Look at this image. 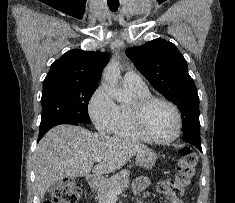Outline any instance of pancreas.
Returning <instances> with one entry per match:
<instances>
[{"label": "pancreas", "mask_w": 235, "mask_h": 203, "mask_svg": "<svg viewBox=\"0 0 235 203\" xmlns=\"http://www.w3.org/2000/svg\"><path fill=\"white\" fill-rule=\"evenodd\" d=\"M129 176L130 171L122 170L99 186L96 196L98 203H109V195L112 192L115 193L127 188L129 185Z\"/></svg>", "instance_id": "cf45deb5"}]
</instances>
